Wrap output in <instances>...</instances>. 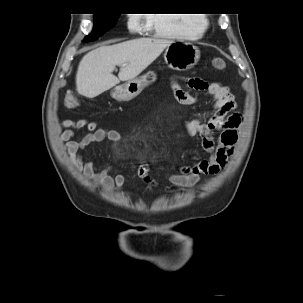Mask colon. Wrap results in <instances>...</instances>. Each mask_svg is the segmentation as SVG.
Wrapping results in <instances>:
<instances>
[{"label": "colon", "mask_w": 303, "mask_h": 303, "mask_svg": "<svg viewBox=\"0 0 303 303\" xmlns=\"http://www.w3.org/2000/svg\"><path fill=\"white\" fill-rule=\"evenodd\" d=\"M212 66L215 68V69H218V70H223L225 69L226 67V62L224 59L222 58H214L212 60ZM67 105L72 108V109H78L80 107V104L79 102L73 98V97H69L66 101Z\"/></svg>", "instance_id": "1"}]
</instances>
